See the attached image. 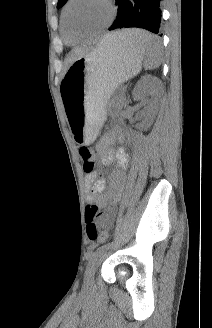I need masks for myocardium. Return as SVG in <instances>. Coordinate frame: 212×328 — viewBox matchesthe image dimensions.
Listing matches in <instances>:
<instances>
[{"label":"myocardium","mask_w":212,"mask_h":328,"mask_svg":"<svg viewBox=\"0 0 212 328\" xmlns=\"http://www.w3.org/2000/svg\"><path fill=\"white\" fill-rule=\"evenodd\" d=\"M76 0H68L64 9H63V13H62V17H63V21H64V25L65 28L68 32H72L70 30V26H69V21H68V10L70 8V6L75 2ZM104 2L108 5L109 9H110V19L108 23H105L104 25L88 30L86 32H84V34L88 35V34H95L98 32H101L103 30H105L106 28H108L109 24L113 21V19L115 18L116 15V5L114 3V0H104Z\"/></svg>","instance_id":"myocardium-1"}]
</instances>
